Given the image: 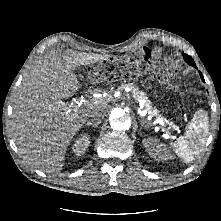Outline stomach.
Masks as SVG:
<instances>
[{"mask_svg":"<svg viewBox=\"0 0 221 221\" xmlns=\"http://www.w3.org/2000/svg\"><path fill=\"white\" fill-rule=\"evenodd\" d=\"M144 86L150 92H159L165 86V77L159 71H150L144 77Z\"/></svg>","mask_w":221,"mask_h":221,"instance_id":"1","label":"stomach"}]
</instances>
